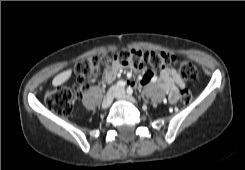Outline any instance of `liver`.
Listing matches in <instances>:
<instances>
[{"label": "liver", "mask_w": 245, "mask_h": 170, "mask_svg": "<svg viewBox=\"0 0 245 170\" xmlns=\"http://www.w3.org/2000/svg\"><path fill=\"white\" fill-rule=\"evenodd\" d=\"M71 74H72L71 69L58 74L57 76L54 77L52 81L53 86L56 87V86L63 84L65 81H67L70 78Z\"/></svg>", "instance_id": "6515ba94"}]
</instances>
